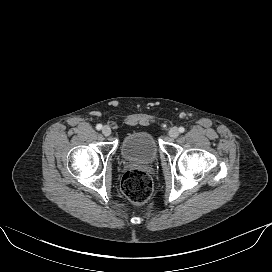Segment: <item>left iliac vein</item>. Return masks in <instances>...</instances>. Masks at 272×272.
Instances as JSON below:
<instances>
[{
  "mask_svg": "<svg viewBox=\"0 0 272 272\" xmlns=\"http://www.w3.org/2000/svg\"><path fill=\"white\" fill-rule=\"evenodd\" d=\"M169 136L172 137V138H176L179 136V130L177 127H172L170 130H169Z\"/></svg>",
  "mask_w": 272,
  "mask_h": 272,
  "instance_id": "1",
  "label": "left iliac vein"
}]
</instances>
